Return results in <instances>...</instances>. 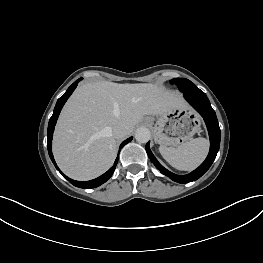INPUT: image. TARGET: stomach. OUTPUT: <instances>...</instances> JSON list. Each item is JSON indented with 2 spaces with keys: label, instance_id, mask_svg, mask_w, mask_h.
Instances as JSON below:
<instances>
[{
  "label": "stomach",
  "instance_id": "stomach-1",
  "mask_svg": "<svg viewBox=\"0 0 263 263\" xmlns=\"http://www.w3.org/2000/svg\"><path fill=\"white\" fill-rule=\"evenodd\" d=\"M145 122L153 128L155 141L166 147L191 140L201 125L199 116L186 105L160 115L155 124L152 117H147Z\"/></svg>",
  "mask_w": 263,
  "mask_h": 263
}]
</instances>
